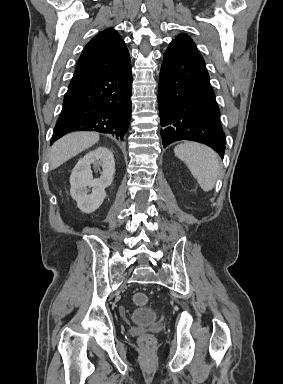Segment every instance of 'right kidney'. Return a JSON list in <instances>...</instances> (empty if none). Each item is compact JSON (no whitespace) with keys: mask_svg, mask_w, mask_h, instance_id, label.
Listing matches in <instances>:
<instances>
[{"mask_svg":"<svg viewBox=\"0 0 283 384\" xmlns=\"http://www.w3.org/2000/svg\"><path fill=\"white\" fill-rule=\"evenodd\" d=\"M91 164L100 170V178L94 180ZM115 172L114 156L108 148H96L84 158L79 160L70 176V194L77 202V206L84 214H91L101 206L106 198L105 188L110 186ZM92 188L91 194H88V188Z\"/></svg>","mask_w":283,"mask_h":384,"instance_id":"ca27d5eb","label":"right kidney"}]
</instances>
